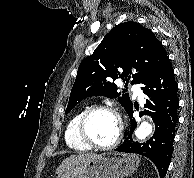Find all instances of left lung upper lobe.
<instances>
[{
	"mask_svg": "<svg viewBox=\"0 0 194 178\" xmlns=\"http://www.w3.org/2000/svg\"><path fill=\"white\" fill-rule=\"evenodd\" d=\"M167 58L150 29L137 22L118 24L79 65L65 113L90 96L117 98L127 111L132 106L129 95L118 92L113 81L121 78L128 84L132 78L131 84L143 83Z\"/></svg>",
	"mask_w": 194,
	"mask_h": 178,
	"instance_id": "obj_1",
	"label": "left lung upper lobe"
}]
</instances>
